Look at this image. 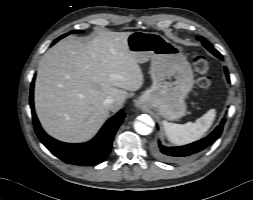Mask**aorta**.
Returning a JSON list of instances; mask_svg holds the SVG:
<instances>
[{
    "instance_id": "obj_1",
    "label": "aorta",
    "mask_w": 253,
    "mask_h": 200,
    "mask_svg": "<svg viewBox=\"0 0 253 200\" xmlns=\"http://www.w3.org/2000/svg\"><path fill=\"white\" fill-rule=\"evenodd\" d=\"M134 129L138 134L149 135L152 132V128L140 121L134 122Z\"/></svg>"
}]
</instances>
